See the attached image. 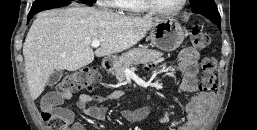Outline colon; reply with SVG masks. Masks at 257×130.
Masks as SVG:
<instances>
[{
    "mask_svg": "<svg viewBox=\"0 0 257 130\" xmlns=\"http://www.w3.org/2000/svg\"><path fill=\"white\" fill-rule=\"evenodd\" d=\"M194 46L202 49L209 43V36L200 27H195L191 33ZM100 76L94 68L87 67L64 77L57 85V93L61 96H70L80 90H92L99 82ZM216 89V62L212 57H204L201 60V78L199 90L202 93H210ZM43 121L50 130H69L68 118L53 111H43Z\"/></svg>",
    "mask_w": 257,
    "mask_h": 130,
    "instance_id": "1",
    "label": "colon"
}]
</instances>
